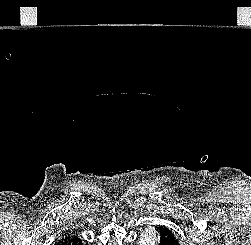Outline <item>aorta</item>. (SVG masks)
<instances>
[{
  "label": "aorta",
  "mask_w": 251,
  "mask_h": 245,
  "mask_svg": "<svg viewBox=\"0 0 251 245\" xmlns=\"http://www.w3.org/2000/svg\"><path fill=\"white\" fill-rule=\"evenodd\" d=\"M157 236L153 227L146 228L140 235L138 245H156Z\"/></svg>",
  "instance_id": "1"
}]
</instances>
